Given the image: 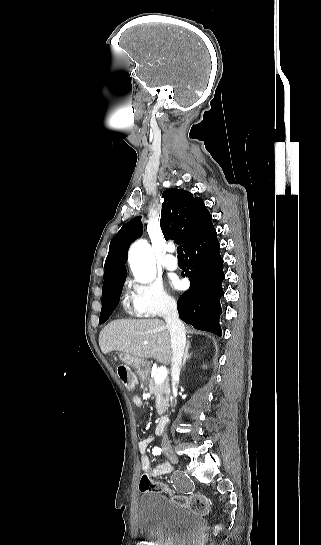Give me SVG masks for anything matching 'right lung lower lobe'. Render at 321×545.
Listing matches in <instances>:
<instances>
[{"label": "right lung lower lobe", "mask_w": 321, "mask_h": 545, "mask_svg": "<svg viewBox=\"0 0 321 545\" xmlns=\"http://www.w3.org/2000/svg\"><path fill=\"white\" fill-rule=\"evenodd\" d=\"M213 224L186 249L187 269L182 276L189 278L190 289L184 292L177 303L179 317L194 328L210 331L221 336L219 316L222 312L220 298L223 296L221 283L225 278L222 270L223 258L220 253ZM119 297L112 296L106 305L107 317L115 309Z\"/></svg>", "instance_id": "98d812e1"}]
</instances>
